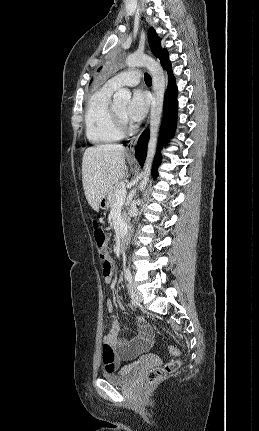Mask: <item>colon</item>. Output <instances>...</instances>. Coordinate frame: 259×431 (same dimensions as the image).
<instances>
[{"mask_svg": "<svg viewBox=\"0 0 259 431\" xmlns=\"http://www.w3.org/2000/svg\"><path fill=\"white\" fill-rule=\"evenodd\" d=\"M93 236H94L96 247L99 251L100 259L102 262V268L104 266L112 268V260L106 245V233L104 229L97 222L93 223ZM169 351L171 352V354L175 356L179 355L180 353L176 347H170ZM103 352L108 358L112 356V349L108 344H104ZM179 367H180L179 360H171L168 363H166L163 367L149 370L146 374V381L149 384L155 383L161 380L162 378H164L167 374L175 372ZM108 370H112V368H109Z\"/></svg>", "mask_w": 259, "mask_h": 431, "instance_id": "obj_1", "label": "colon"}]
</instances>
